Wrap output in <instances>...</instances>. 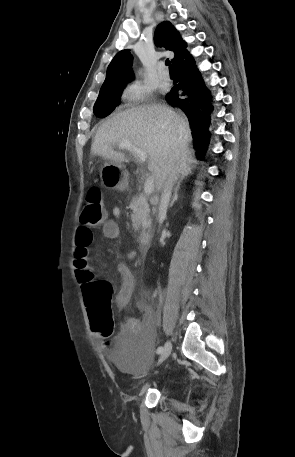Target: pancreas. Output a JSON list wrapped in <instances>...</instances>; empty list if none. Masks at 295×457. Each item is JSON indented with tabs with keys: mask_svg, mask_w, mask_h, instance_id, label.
<instances>
[{
	"mask_svg": "<svg viewBox=\"0 0 295 457\" xmlns=\"http://www.w3.org/2000/svg\"><path fill=\"white\" fill-rule=\"evenodd\" d=\"M130 208L133 211L131 215L132 225L135 230L147 229L151 225V218L149 216V205L147 198L143 195L133 197L130 203Z\"/></svg>",
	"mask_w": 295,
	"mask_h": 457,
	"instance_id": "pancreas-1",
	"label": "pancreas"
}]
</instances>
